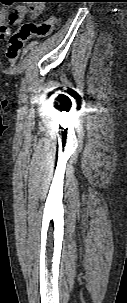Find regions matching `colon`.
<instances>
[{
  "label": "colon",
  "mask_w": 127,
  "mask_h": 303,
  "mask_svg": "<svg viewBox=\"0 0 127 303\" xmlns=\"http://www.w3.org/2000/svg\"><path fill=\"white\" fill-rule=\"evenodd\" d=\"M58 24L56 14L49 15L41 23L25 22L14 33L7 36L8 46L6 57L10 63H15L19 58L26 42L34 37H46L51 34L55 26Z\"/></svg>",
  "instance_id": "colon-1"
}]
</instances>
